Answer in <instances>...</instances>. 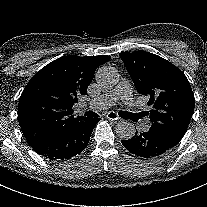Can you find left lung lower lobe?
Here are the masks:
<instances>
[{
  "mask_svg": "<svg viewBox=\"0 0 207 207\" xmlns=\"http://www.w3.org/2000/svg\"><path fill=\"white\" fill-rule=\"evenodd\" d=\"M121 142L131 153L144 158L159 156L177 145L164 134L151 128L147 132L136 131L134 137Z\"/></svg>",
  "mask_w": 207,
  "mask_h": 207,
  "instance_id": "0a47b994",
  "label": "left lung lower lobe"
}]
</instances>
